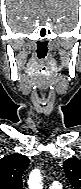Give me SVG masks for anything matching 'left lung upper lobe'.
<instances>
[{
  "label": "left lung upper lobe",
  "mask_w": 81,
  "mask_h": 189,
  "mask_svg": "<svg viewBox=\"0 0 81 189\" xmlns=\"http://www.w3.org/2000/svg\"><path fill=\"white\" fill-rule=\"evenodd\" d=\"M66 176L75 189H81V160L67 159L63 165Z\"/></svg>",
  "instance_id": "left-lung-upper-lobe-1"
}]
</instances>
